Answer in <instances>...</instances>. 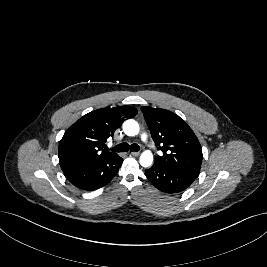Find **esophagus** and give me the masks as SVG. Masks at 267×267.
Listing matches in <instances>:
<instances>
[{
  "mask_svg": "<svg viewBox=\"0 0 267 267\" xmlns=\"http://www.w3.org/2000/svg\"><path fill=\"white\" fill-rule=\"evenodd\" d=\"M131 155L137 157V156L140 155V152H135V151H134V152H131Z\"/></svg>",
  "mask_w": 267,
  "mask_h": 267,
  "instance_id": "1",
  "label": "esophagus"
}]
</instances>
